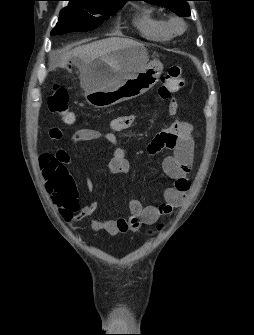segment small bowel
I'll use <instances>...</instances> for the list:
<instances>
[{
    "instance_id": "c3829d8e",
    "label": "small bowel",
    "mask_w": 254,
    "mask_h": 335,
    "mask_svg": "<svg viewBox=\"0 0 254 335\" xmlns=\"http://www.w3.org/2000/svg\"><path fill=\"white\" fill-rule=\"evenodd\" d=\"M170 104L164 109L165 115H179V98H171ZM132 115L118 116L109 124V130L99 132L92 129H78L74 132L72 140L74 143H81L102 139L112 147V157L108 162V170L113 174L126 175L129 173L130 165L125 151L121 148L117 132L128 129L133 123ZM192 126L184 120L176 121L169 128L159 132L148 146V153L154 156L162 149H170L172 154L163 161L164 173L172 180L174 185L164 191L165 202L158 206H143L138 199L129 201L131 216L128 218H118L114 220H103L94 218L92 228L95 231H104L110 235L125 232L138 231L143 225H153L162 216L169 215L173 209L180 207L185 199L186 192L190 187L189 173L193 164V140L191 137ZM52 140L59 141L63 138L60 128L54 127L50 130ZM58 160L66 170L67 176L72 180L68 166L71 158L65 151L58 152ZM87 189L91 190V185L87 184ZM55 198V192H50ZM61 211L64 219L69 223H76L91 216L98 208L96 202H91L81 208L75 204L73 199L61 203Z\"/></svg>"
}]
</instances>
